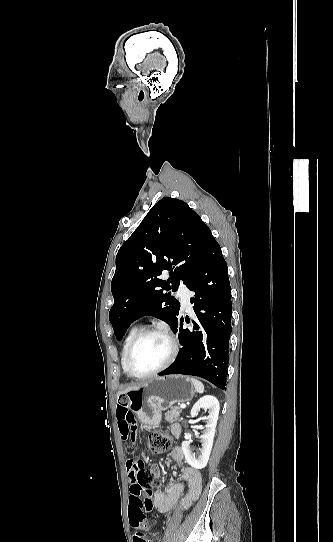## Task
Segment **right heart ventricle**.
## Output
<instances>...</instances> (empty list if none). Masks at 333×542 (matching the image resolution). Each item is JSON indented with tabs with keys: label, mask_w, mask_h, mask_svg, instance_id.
<instances>
[{
	"label": "right heart ventricle",
	"mask_w": 333,
	"mask_h": 542,
	"mask_svg": "<svg viewBox=\"0 0 333 542\" xmlns=\"http://www.w3.org/2000/svg\"><path fill=\"white\" fill-rule=\"evenodd\" d=\"M140 329H141L140 326H134L133 328L130 329V331L128 332V334L126 335L124 339L122 353H121V367L125 373H127L125 369V360H126V355H127L129 345L131 341L135 338V336L139 333Z\"/></svg>",
	"instance_id": "obj_1"
}]
</instances>
